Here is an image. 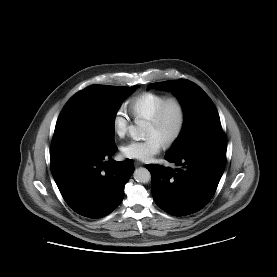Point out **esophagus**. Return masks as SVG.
<instances>
[{"label": "esophagus", "mask_w": 277, "mask_h": 277, "mask_svg": "<svg viewBox=\"0 0 277 277\" xmlns=\"http://www.w3.org/2000/svg\"><path fill=\"white\" fill-rule=\"evenodd\" d=\"M135 166H141V165H143V163H141V162H139V161H135Z\"/></svg>", "instance_id": "obj_1"}]
</instances>
